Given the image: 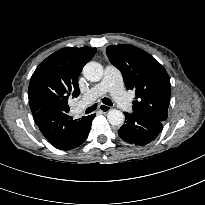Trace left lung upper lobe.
Instances as JSON below:
<instances>
[{
  "label": "left lung upper lobe",
  "mask_w": 205,
  "mask_h": 205,
  "mask_svg": "<svg viewBox=\"0 0 205 205\" xmlns=\"http://www.w3.org/2000/svg\"><path fill=\"white\" fill-rule=\"evenodd\" d=\"M109 61L117 67L127 89L135 90L133 114L164 122L170 103L171 84L163 66L150 54L128 44L106 48Z\"/></svg>",
  "instance_id": "1"
}]
</instances>
